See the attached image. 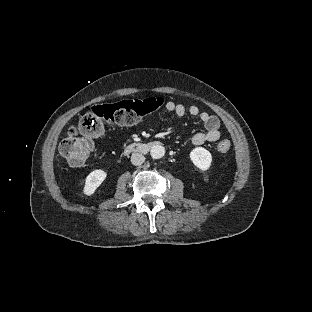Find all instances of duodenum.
<instances>
[{"mask_svg":"<svg viewBox=\"0 0 312 312\" xmlns=\"http://www.w3.org/2000/svg\"><path fill=\"white\" fill-rule=\"evenodd\" d=\"M161 142L157 140L147 141V142H138V143H131L124 148L125 154L131 153H147L152 148L159 146Z\"/></svg>","mask_w":312,"mask_h":312,"instance_id":"duodenum-1","label":"duodenum"}]
</instances>
